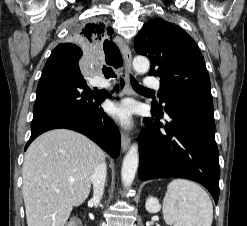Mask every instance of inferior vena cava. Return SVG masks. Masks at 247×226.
I'll use <instances>...</instances> for the list:
<instances>
[{"instance_id": "obj_1", "label": "inferior vena cava", "mask_w": 247, "mask_h": 226, "mask_svg": "<svg viewBox=\"0 0 247 226\" xmlns=\"http://www.w3.org/2000/svg\"><path fill=\"white\" fill-rule=\"evenodd\" d=\"M91 182L93 184V197L91 202L97 206L102 198L106 182V164L104 162L95 168L91 176Z\"/></svg>"}]
</instances>
